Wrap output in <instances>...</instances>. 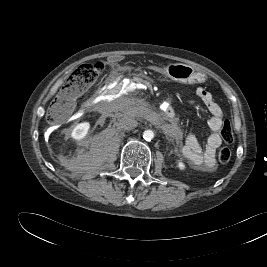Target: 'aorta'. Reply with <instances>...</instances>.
Wrapping results in <instances>:
<instances>
[{"instance_id":"762f6f07","label":"aorta","mask_w":267,"mask_h":267,"mask_svg":"<svg viewBox=\"0 0 267 267\" xmlns=\"http://www.w3.org/2000/svg\"><path fill=\"white\" fill-rule=\"evenodd\" d=\"M143 138L146 141H151L154 138V132L152 130H145L143 132Z\"/></svg>"}]
</instances>
